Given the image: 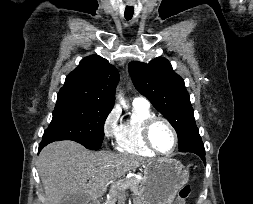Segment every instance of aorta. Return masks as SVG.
<instances>
[{"label": "aorta", "mask_w": 253, "mask_h": 204, "mask_svg": "<svg viewBox=\"0 0 253 204\" xmlns=\"http://www.w3.org/2000/svg\"><path fill=\"white\" fill-rule=\"evenodd\" d=\"M120 103L125 107V108H127V106H126V104H125V101H124V99L121 97L120 98Z\"/></svg>", "instance_id": "1"}]
</instances>
